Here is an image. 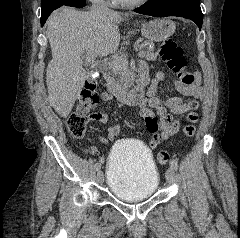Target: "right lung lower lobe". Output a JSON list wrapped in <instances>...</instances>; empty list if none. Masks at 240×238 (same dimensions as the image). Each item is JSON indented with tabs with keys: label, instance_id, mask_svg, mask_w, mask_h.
<instances>
[{
	"label": "right lung lower lobe",
	"instance_id": "98d812e1",
	"mask_svg": "<svg viewBox=\"0 0 240 238\" xmlns=\"http://www.w3.org/2000/svg\"><path fill=\"white\" fill-rule=\"evenodd\" d=\"M86 1L85 0H72L70 2L69 6H73V7H84L85 6ZM47 20V18H45L44 20H41V25L43 26V24L45 23V21Z\"/></svg>",
	"mask_w": 240,
	"mask_h": 238
}]
</instances>
